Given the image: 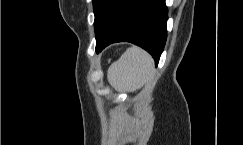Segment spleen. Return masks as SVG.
I'll list each match as a JSON object with an SVG mask.
<instances>
[{
    "label": "spleen",
    "instance_id": "spleen-1",
    "mask_svg": "<svg viewBox=\"0 0 243 145\" xmlns=\"http://www.w3.org/2000/svg\"><path fill=\"white\" fill-rule=\"evenodd\" d=\"M154 73V61L143 49L133 46L108 69V82L118 91L140 89Z\"/></svg>",
    "mask_w": 243,
    "mask_h": 145
}]
</instances>
